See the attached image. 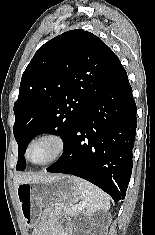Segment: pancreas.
I'll list each match as a JSON object with an SVG mask.
<instances>
[{"instance_id":"pancreas-1","label":"pancreas","mask_w":155,"mask_h":235,"mask_svg":"<svg viewBox=\"0 0 155 235\" xmlns=\"http://www.w3.org/2000/svg\"><path fill=\"white\" fill-rule=\"evenodd\" d=\"M61 208L69 216H76L77 214V212L73 211L72 208H70L69 206H62Z\"/></svg>"}]
</instances>
